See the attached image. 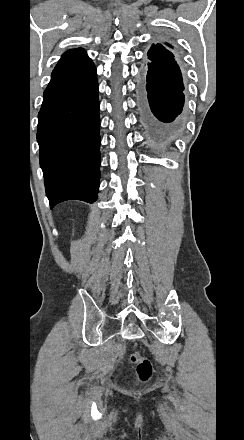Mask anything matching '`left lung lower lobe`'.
<instances>
[{"instance_id":"1","label":"left lung lower lobe","mask_w":244,"mask_h":440,"mask_svg":"<svg viewBox=\"0 0 244 440\" xmlns=\"http://www.w3.org/2000/svg\"><path fill=\"white\" fill-rule=\"evenodd\" d=\"M164 62L148 57L137 81L140 121L147 141L154 146H168L182 133L179 116L184 106V85L177 61Z\"/></svg>"}]
</instances>
